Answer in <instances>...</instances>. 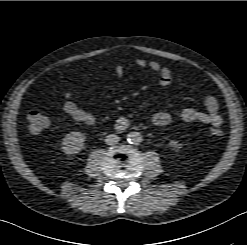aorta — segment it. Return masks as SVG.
Segmentation results:
<instances>
[{
  "mask_svg": "<svg viewBox=\"0 0 247 245\" xmlns=\"http://www.w3.org/2000/svg\"><path fill=\"white\" fill-rule=\"evenodd\" d=\"M127 141L133 145H139L143 138L140 132L132 131L127 135Z\"/></svg>",
  "mask_w": 247,
  "mask_h": 245,
  "instance_id": "aorta-1",
  "label": "aorta"
}]
</instances>
